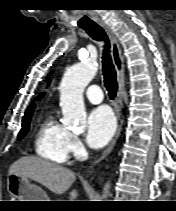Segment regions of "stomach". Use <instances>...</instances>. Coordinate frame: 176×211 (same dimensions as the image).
<instances>
[{
	"mask_svg": "<svg viewBox=\"0 0 176 211\" xmlns=\"http://www.w3.org/2000/svg\"><path fill=\"white\" fill-rule=\"evenodd\" d=\"M7 190L19 201H49L46 193L40 187L31 184L28 178L16 174L8 175Z\"/></svg>",
	"mask_w": 176,
	"mask_h": 211,
	"instance_id": "0dacf381",
	"label": "stomach"
}]
</instances>
